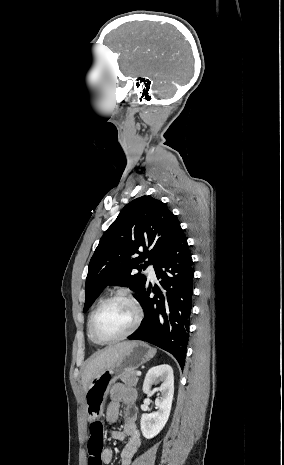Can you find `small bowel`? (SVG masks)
<instances>
[{"mask_svg": "<svg viewBox=\"0 0 284 465\" xmlns=\"http://www.w3.org/2000/svg\"><path fill=\"white\" fill-rule=\"evenodd\" d=\"M137 399V392L133 388H127L122 383H116L110 390V399L106 410V420L109 423H115L121 413L123 415V426L121 430H112L110 435L113 439L125 442L120 454L121 465H130L134 456L139 450L141 438L136 426L138 412L134 407ZM122 404L124 410L121 411ZM113 451L106 448L103 452V461L109 464L113 460Z\"/></svg>", "mask_w": 284, "mask_h": 465, "instance_id": "1", "label": "small bowel"}]
</instances>
